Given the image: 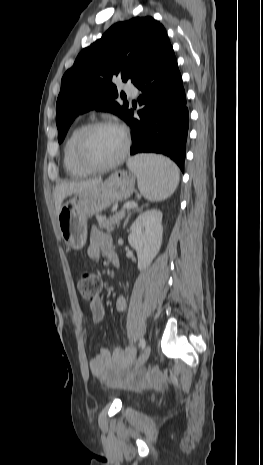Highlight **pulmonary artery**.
Segmentation results:
<instances>
[{"instance_id": "obj_1", "label": "pulmonary artery", "mask_w": 263, "mask_h": 465, "mask_svg": "<svg viewBox=\"0 0 263 465\" xmlns=\"http://www.w3.org/2000/svg\"><path fill=\"white\" fill-rule=\"evenodd\" d=\"M125 92L131 97H136L138 94L137 89L134 86L128 85L125 87Z\"/></svg>"}]
</instances>
